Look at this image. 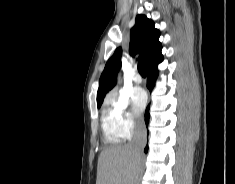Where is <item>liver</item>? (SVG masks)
<instances>
[{
	"label": "liver",
	"instance_id": "obj_1",
	"mask_svg": "<svg viewBox=\"0 0 235 184\" xmlns=\"http://www.w3.org/2000/svg\"><path fill=\"white\" fill-rule=\"evenodd\" d=\"M139 162L130 144L106 148L98 158L96 184H135Z\"/></svg>",
	"mask_w": 235,
	"mask_h": 184
}]
</instances>
